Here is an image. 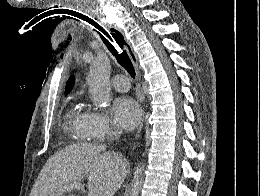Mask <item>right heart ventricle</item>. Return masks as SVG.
Listing matches in <instances>:
<instances>
[{"mask_svg":"<svg viewBox=\"0 0 260 196\" xmlns=\"http://www.w3.org/2000/svg\"><path fill=\"white\" fill-rule=\"evenodd\" d=\"M86 110L77 106L74 110L68 115L69 122L75 129L84 128V120L86 115ZM79 143H90L89 139H82ZM50 192H63V190H50Z\"/></svg>","mask_w":260,"mask_h":196,"instance_id":"right-heart-ventricle-1","label":"right heart ventricle"}]
</instances>
